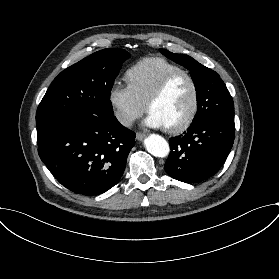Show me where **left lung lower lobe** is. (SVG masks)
Wrapping results in <instances>:
<instances>
[{"label":"left lung lower lobe","instance_id":"0a47b994","mask_svg":"<svg viewBox=\"0 0 279 279\" xmlns=\"http://www.w3.org/2000/svg\"><path fill=\"white\" fill-rule=\"evenodd\" d=\"M234 137V119L205 117L191 123L183 135L169 139L171 153L165 171L182 182H201L222 167Z\"/></svg>","mask_w":279,"mask_h":279}]
</instances>
